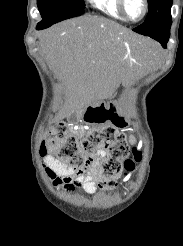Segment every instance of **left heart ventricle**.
<instances>
[{
  "mask_svg": "<svg viewBox=\"0 0 183 246\" xmlns=\"http://www.w3.org/2000/svg\"><path fill=\"white\" fill-rule=\"evenodd\" d=\"M126 9L130 18L134 20L138 19L143 12V5L141 0H127Z\"/></svg>",
  "mask_w": 183,
  "mask_h": 246,
  "instance_id": "obj_1",
  "label": "left heart ventricle"
}]
</instances>
